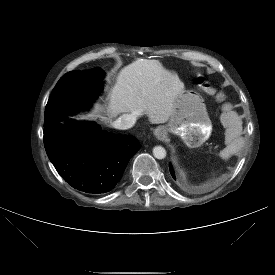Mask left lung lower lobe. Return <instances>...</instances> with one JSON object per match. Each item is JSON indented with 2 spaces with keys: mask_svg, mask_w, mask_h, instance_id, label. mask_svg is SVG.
Listing matches in <instances>:
<instances>
[{
  "mask_svg": "<svg viewBox=\"0 0 275 275\" xmlns=\"http://www.w3.org/2000/svg\"><path fill=\"white\" fill-rule=\"evenodd\" d=\"M170 173H171L172 177H173L174 179H176V178H175L174 171H173V169H172V167H171V166H170Z\"/></svg>",
  "mask_w": 275,
  "mask_h": 275,
  "instance_id": "1",
  "label": "left lung lower lobe"
}]
</instances>
